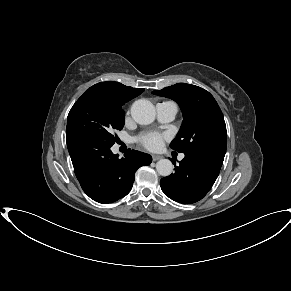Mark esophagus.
<instances>
[{"mask_svg":"<svg viewBox=\"0 0 291 291\" xmlns=\"http://www.w3.org/2000/svg\"><path fill=\"white\" fill-rule=\"evenodd\" d=\"M161 158H162V156H160V155H152L153 161H157V160H159Z\"/></svg>","mask_w":291,"mask_h":291,"instance_id":"34e87169","label":"esophagus"}]
</instances>
